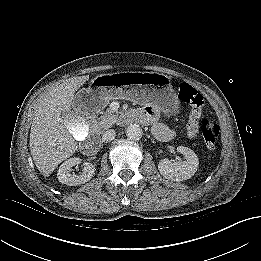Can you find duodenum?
I'll return each mask as SVG.
<instances>
[{
    "label": "duodenum",
    "mask_w": 261,
    "mask_h": 261,
    "mask_svg": "<svg viewBox=\"0 0 261 261\" xmlns=\"http://www.w3.org/2000/svg\"><path fill=\"white\" fill-rule=\"evenodd\" d=\"M126 119L128 121L135 119L134 111H129L126 114ZM99 146H100V140L97 136H95V137L89 139L86 143H84L81 146V151L84 154L90 155V154H93L99 148Z\"/></svg>",
    "instance_id": "duodenum-1"
}]
</instances>
